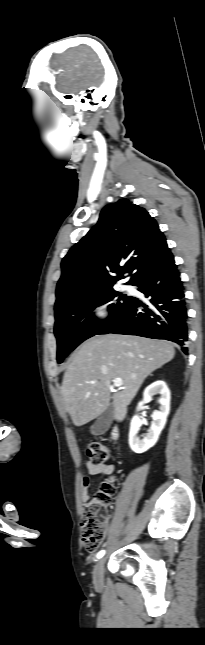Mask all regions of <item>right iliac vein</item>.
<instances>
[{
    "label": "right iliac vein",
    "instance_id": "obj_1",
    "mask_svg": "<svg viewBox=\"0 0 205 645\" xmlns=\"http://www.w3.org/2000/svg\"><path fill=\"white\" fill-rule=\"evenodd\" d=\"M104 564H105V558H101L98 560L94 568L93 579H94V584L97 587H100L103 584Z\"/></svg>",
    "mask_w": 205,
    "mask_h": 645
}]
</instances>
